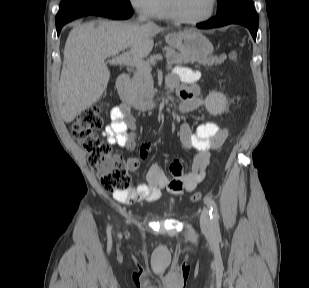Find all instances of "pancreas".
I'll return each mask as SVG.
<instances>
[{
    "label": "pancreas",
    "instance_id": "1",
    "mask_svg": "<svg viewBox=\"0 0 309 288\" xmlns=\"http://www.w3.org/2000/svg\"><path fill=\"white\" fill-rule=\"evenodd\" d=\"M166 57L169 64L197 63L203 66H213L224 63L226 55L209 56V57H190L186 54L178 53L174 49L165 47ZM130 92L132 101L143 103L155 95L151 71L146 69H137L134 72L130 82Z\"/></svg>",
    "mask_w": 309,
    "mask_h": 288
}]
</instances>
